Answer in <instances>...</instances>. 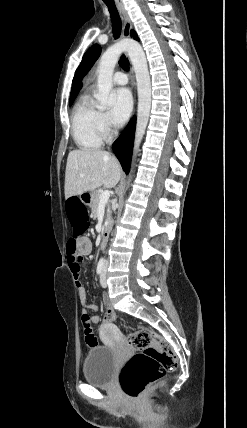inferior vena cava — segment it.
Segmentation results:
<instances>
[{
  "mask_svg": "<svg viewBox=\"0 0 247 428\" xmlns=\"http://www.w3.org/2000/svg\"><path fill=\"white\" fill-rule=\"evenodd\" d=\"M105 264L107 265V261L105 260Z\"/></svg>",
  "mask_w": 247,
  "mask_h": 428,
  "instance_id": "1",
  "label": "inferior vena cava"
}]
</instances>
